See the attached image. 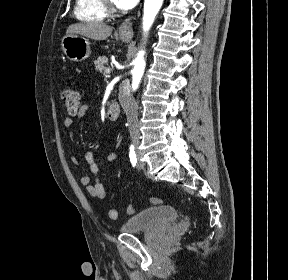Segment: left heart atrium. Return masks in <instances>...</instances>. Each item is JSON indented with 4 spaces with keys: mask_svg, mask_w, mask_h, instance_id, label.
I'll return each instance as SVG.
<instances>
[{
    "mask_svg": "<svg viewBox=\"0 0 288 280\" xmlns=\"http://www.w3.org/2000/svg\"><path fill=\"white\" fill-rule=\"evenodd\" d=\"M116 5L121 9H129L133 7L138 0H114Z\"/></svg>",
    "mask_w": 288,
    "mask_h": 280,
    "instance_id": "39dd6f15",
    "label": "left heart atrium"
}]
</instances>
